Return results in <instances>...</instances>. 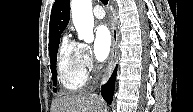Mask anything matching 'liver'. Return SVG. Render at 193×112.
I'll return each mask as SVG.
<instances>
[{
  "mask_svg": "<svg viewBox=\"0 0 193 112\" xmlns=\"http://www.w3.org/2000/svg\"><path fill=\"white\" fill-rule=\"evenodd\" d=\"M52 112H104V101L96 94L67 95L55 100Z\"/></svg>",
  "mask_w": 193,
  "mask_h": 112,
  "instance_id": "1",
  "label": "liver"
}]
</instances>
